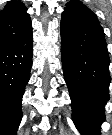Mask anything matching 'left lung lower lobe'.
<instances>
[{
  "label": "left lung lower lobe",
  "instance_id": "obj_1",
  "mask_svg": "<svg viewBox=\"0 0 112 135\" xmlns=\"http://www.w3.org/2000/svg\"><path fill=\"white\" fill-rule=\"evenodd\" d=\"M60 30L62 66L74 124L81 135H100L111 81L103 28L62 17Z\"/></svg>",
  "mask_w": 112,
  "mask_h": 135
}]
</instances>
